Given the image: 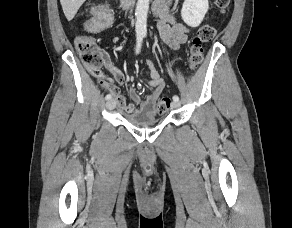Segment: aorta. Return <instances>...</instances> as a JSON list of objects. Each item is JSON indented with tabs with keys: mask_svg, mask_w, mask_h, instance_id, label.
<instances>
[{
	"mask_svg": "<svg viewBox=\"0 0 292 228\" xmlns=\"http://www.w3.org/2000/svg\"><path fill=\"white\" fill-rule=\"evenodd\" d=\"M150 0H138L136 6V31L146 33L147 31V14Z\"/></svg>",
	"mask_w": 292,
	"mask_h": 228,
	"instance_id": "obj_1",
	"label": "aorta"
}]
</instances>
